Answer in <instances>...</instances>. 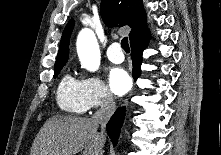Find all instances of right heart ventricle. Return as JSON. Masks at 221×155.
Instances as JSON below:
<instances>
[{
    "mask_svg": "<svg viewBox=\"0 0 221 155\" xmlns=\"http://www.w3.org/2000/svg\"><path fill=\"white\" fill-rule=\"evenodd\" d=\"M57 104L65 112L83 114L88 110L83 95L82 80L66 73L60 80L57 93Z\"/></svg>",
    "mask_w": 221,
    "mask_h": 155,
    "instance_id": "obj_1",
    "label": "right heart ventricle"
}]
</instances>
